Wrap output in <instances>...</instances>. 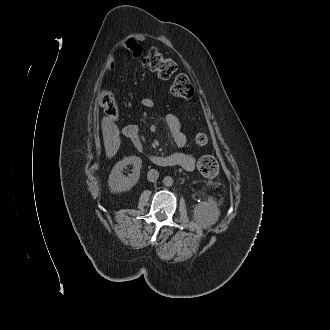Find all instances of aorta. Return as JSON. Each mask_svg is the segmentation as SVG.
Instances as JSON below:
<instances>
[{
	"mask_svg": "<svg viewBox=\"0 0 330 330\" xmlns=\"http://www.w3.org/2000/svg\"><path fill=\"white\" fill-rule=\"evenodd\" d=\"M163 185L166 186V187L172 186L173 185V178L170 177V176L164 177V179H163Z\"/></svg>",
	"mask_w": 330,
	"mask_h": 330,
	"instance_id": "762f6f07",
	"label": "aorta"
}]
</instances>
